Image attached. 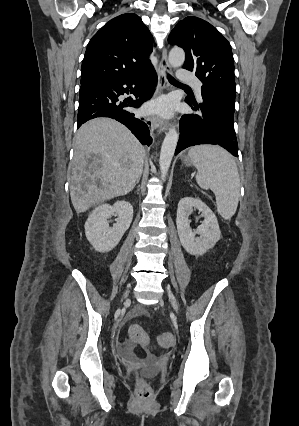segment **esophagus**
Masks as SVG:
<instances>
[{
	"label": "esophagus",
	"instance_id": "1",
	"mask_svg": "<svg viewBox=\"0 0 299 426\" xmlns=\"http://www.w3.org/2000/svg\"><path fill=\"white\" fill-rule=\"evenodd\" d=\"M170 71L171 66L167 58V49L164 48L162 51V57L158 68V87L156 95L169 88V81L167 75L170 73ZM151 123L159 131H165L169 127V123L157 116H153L151 118Z\"/></svg>",
	"mask_w": 299,
	"mask_h": 426
}]
</instances>
